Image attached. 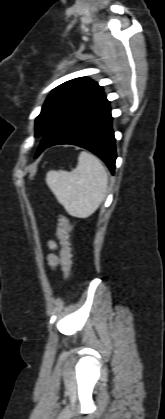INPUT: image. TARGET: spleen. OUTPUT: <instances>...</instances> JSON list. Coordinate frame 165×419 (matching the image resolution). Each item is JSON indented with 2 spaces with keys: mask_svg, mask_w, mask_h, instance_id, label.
Returning a JSON list of instances; mask_svg holds the SVG:
<instances>
[{
  "mask_svg": "<svg viewBox=\"0 0 165 419\" xmlns=\"http://www.w3.org/2000/svg\"><path fill=\"white\" fill-rule=\"evenodd\" d=\"M46 183L71 216L87 218L106 196L108 175L98 158L83 151L75 169L51 170L46 175Z\"/></svg>",
  "mask_w": 165,
  "mask_h": 419,
  "instance_id": "3e777b00",
  "label": "spleen"
}]
</instances>
